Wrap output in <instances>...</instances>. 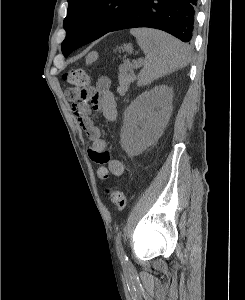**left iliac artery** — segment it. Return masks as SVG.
<instances>
[{
	"mask_svg": "<svg viewBox=\"0 0 245 300\" xmlns=\"http://www.w3.org/2000/svg\"><path fill=\"white\" fill-rule=\"evenodd\" d=\"M116 250L119 256V259L122 264H127L128 258L123 250L122 243H121V231L118 232L116 237Z\"/></svg>",
	"mask_w": 245,
	"mask_h": 300,
	"instance_id": "left-iliac-artery-1",
	"label": "left iliac artery"
}]
</instances>
